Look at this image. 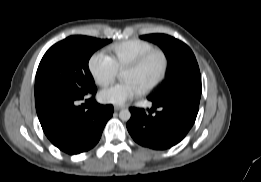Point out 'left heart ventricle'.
Returning <instances> with one entry per match:
<instances>
[{
  "label": "left heart ventricle",
  "mask_w": 261,
  "mask_h": 182,
  "mask_svg": "<svg viewBox=\"0 0 261 182\" xmlns=\"http://www.w3.org/2000/svg\"><path fill=\"white\" fill-rule=\"evenodd\" d=\"M161 68L162 60L160 56L154 55L149 58L140 68L123 71L121 78L123 81H132L144 89L157 78Z\"/></svg>",
  "instance_id": "left-heart-ventricle-1"
}]
</instances>
